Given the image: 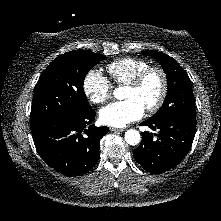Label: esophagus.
I'll return each mask as SVG.
<instances>
[{
    "instance_id": "1",
    "label": "esophagus",
    "mask_w": 221,
    "mask_h": 221,
    "mask_svg": "<svg viewBox=\"0 0 221 221\" xmlns=\"http://www.w3.org/2000/svg\"><path fill=\"white\" fill-rule=\"evenodd\" d=\"M111 131H117V132H123L124 129L123 128H115V127H110Z\"/></svg>"
}]
</instances>
